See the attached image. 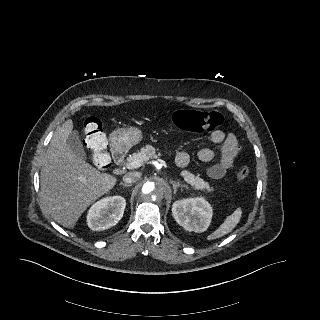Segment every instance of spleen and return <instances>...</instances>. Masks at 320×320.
Returning <instances> with one entry per match:
<instances>
[{
    "instance_id": "spleen-1",
    "label": "spleen",
    "mask_w": 320,
    "mask_h": 320,
    "mask_svg": "<svg viewBox=\"0 0 320 320\" xmlns=\"http://www.w3.org/2000/svg\"><path fill=\"white\" fill-rule=\"evenodd\" d=\"M241 216L242 210L238 207L231 215L226 217L217 230L207 236V240H214L230 233L240 222Z\"/></svg>"
}]
</instances>
